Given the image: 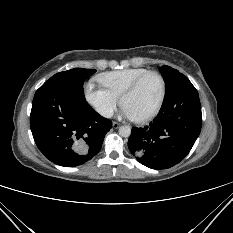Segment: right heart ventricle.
Instances as JSON below:
<instances>
[{"label": "right heart ventricle", "mask_w": 233, "mask_h": 233, "mask_svg": "<svg viewBox=\"0 0 233 233\" xmlns=\"http://www.w3.org/2000/svg\"><path fill=\"white\" fill-rule=\"evenodd\" d=\"M150 70L146 68H126L105 72L97 77V80L112 94L118 98L139 76Z\"/></svg>", "instance_id": "1"}]
</instances>
